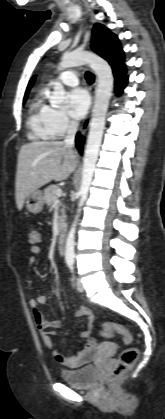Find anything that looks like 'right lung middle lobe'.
Returning <instances> with one entry per match:
<instances>
[{
  "label": "right lung middle lobe",
  "instance_id": "1",
  "mask_svg": "<svg viewBox=\"0 0 165 419\" xmlns=\"http://www.w3.org/2000/svg\"><path fill=\"white\" fill-rule=\"evenodd\" d=\"M27 96L24 97V102L26 101Z\"/></svg>",
  "mask_w": 165,
  "mask_h": 419
}]
</instances>
